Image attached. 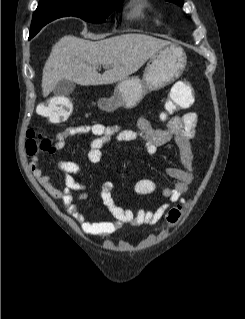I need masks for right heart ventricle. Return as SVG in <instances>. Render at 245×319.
<instances>
[{
  "label": "right heart ventricle",
  "mask_w": 245,
  "mask_h": 319,
  "mask_svg": "<svg viewBox=\"0 0 245 319\" xmlns=\"http://www.w3.org/2000/svg\"><path fill=\"white\" fill-rule=\"evenodd\" d=\"M143 11H144V4L143 3L136 5L132 10L133 14H135V15L142 14Z\"/></svg>",
  "instance_id": "e07e8e85"
}]
</instances>
